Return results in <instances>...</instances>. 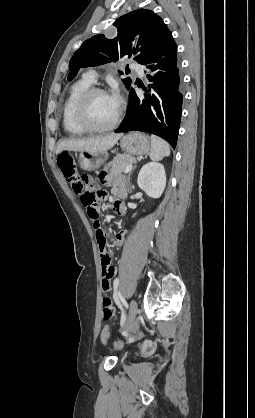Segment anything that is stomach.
<instances>
[{
	"instance_id": "1",
	"label": "stomach",
	"mask_w": 255,
	"mask_h": 418,
	"mask_svg": "<svg viewBox=\"0 0 255 418\" xmlns=\"http://www.w3.org/2000/svg\"><path fill=\"white\" fill-rule=\"evenodd\" d=\"M120 146L127 155H145L150 152L151 144L149 137L144 133L132 132L123 135ZM107 152H82L79 156L80 167L85 171L98 169L107 160Z\"/></svg>"
}]
</instances>
